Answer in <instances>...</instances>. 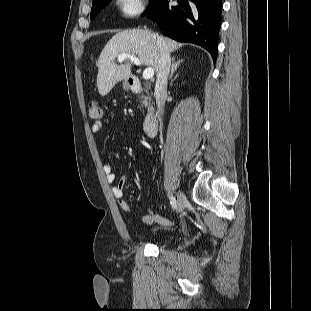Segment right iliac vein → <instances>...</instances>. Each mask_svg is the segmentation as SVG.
I'll return each instance as SVG.
<instances>
[{"instance_id": "right-iliac-vein-1", "label": "right iliac vein", "mask_w": 311, "mask_h": 311, "mask_svg": "<svg viewBox=\"0 0 311 311\" xmlns=\"http://www.w3.org/2000/svg\"><path fill=\"white\" fill-rule=\"evenodd\" d=\"M186 205V196L183 192L178 191L177 193V211L182 212Z\"/></svg>"}]
</instances>
